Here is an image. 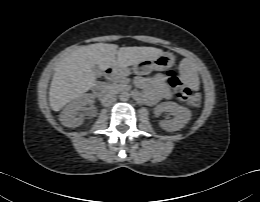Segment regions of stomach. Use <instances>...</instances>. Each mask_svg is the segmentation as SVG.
Returning a JSON list of instances; mask_svg holds the SVG:
<instances>
[{
    "mask_svg": "<svg viewBox=\"0 0 260 202\" xmlns=\"http://www.w3.org/2000/svg\"><path fill=\"white\" fill-rule=\"evenodd\" d=\"M175 62V57L171 53H162L158 56L151 57L143 60L142 62L136 64L134 69L140 73H148L151 70H167ZM119 71L122 75L129 74V69L127 67H119Z\"/></svg>",
    "mask_w": 260,
    "mask_h": 202,
    "instance_id": "1",
    "label": "stomach"
}]
</instances>
